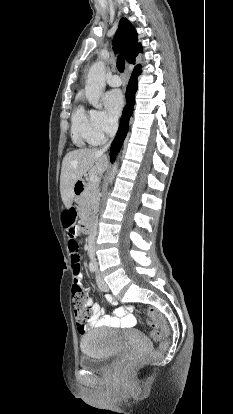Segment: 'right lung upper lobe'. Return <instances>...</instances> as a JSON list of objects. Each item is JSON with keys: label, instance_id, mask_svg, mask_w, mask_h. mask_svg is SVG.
<instances>
[{"label": "right lung upper lobe", "instance_id": "right-lung-upper-lobe-1", "mask_svg": "<svg viewBox=\"0 0 233 414\" xmlns=\"http://www.w3.org/2000/svg\"><path fill=\"white\" fill-rule=\"evenodd\" d=\"M113 49L122 52L129 63L135 64V57L141 52L142 46L137 43V32L126 19L122 18L114 36ZM137 65L134 70L140 68Z\"/></svg>", "mask_w": 233, "mask_h": 414}]
</instances>
